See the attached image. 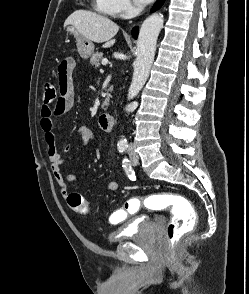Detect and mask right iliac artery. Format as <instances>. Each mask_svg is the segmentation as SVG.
<instances>
[{
	"label": "right iliac artery",
	"mask_w": 249,
	"mask_h": 294,
	"mask_svg": "<svg viewBox=\"0 0 249 294\" xmlns=\"http://www.w3.org/2000/svg\"><path fill=\"white\" fill-rule=\"evenodd\" d=\"M128 146L127 145H119L118 150L120 153H125L127 150Z\"/></svg>",
	"instance_id": "1"
}]
</instances>
